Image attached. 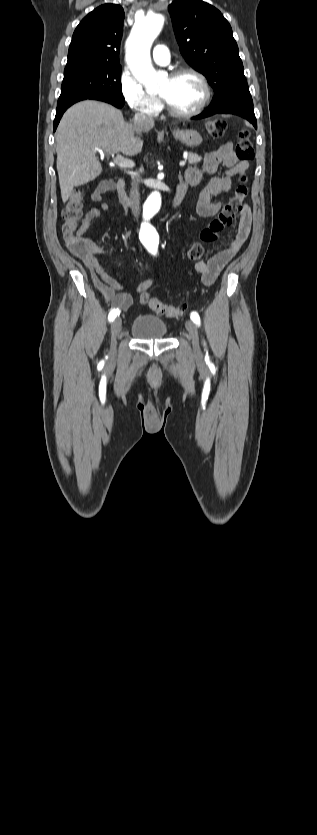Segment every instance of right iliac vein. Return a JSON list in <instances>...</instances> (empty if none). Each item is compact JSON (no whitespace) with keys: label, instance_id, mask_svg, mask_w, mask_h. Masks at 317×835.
Returning a JSON list of instances; mask_svg holds the SVG:
<instances>
[{"label":"right iliac vein","instance_id":"63e3f726","mask_svg":"<svg viewBox=\"0 0 317 835\" xmlns=\"http://www.w3.org/2000/svg\"><path fill=\"white\" fill-rule=\"evenodd\" d=\"M121 326H122V321H121L120 318H116L112 322V325H111V346H112L113 350H115V348H116L117 337L120 334Z\"/></svg>","mask_w":317,"mask_h":835}]
</instances>
